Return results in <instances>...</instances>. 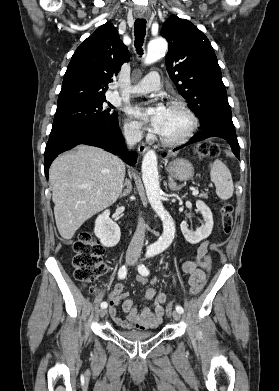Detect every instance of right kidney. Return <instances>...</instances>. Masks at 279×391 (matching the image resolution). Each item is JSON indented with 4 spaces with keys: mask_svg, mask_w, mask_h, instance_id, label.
Returning <instances> with one entry per match:
<instances>
[{
    "mask_svg": "<svg viewBox=\"0 0 279 391\" xmlns=\"http://www.w3.org/2000/svg\"><path fill=\"white\" fill-rule=\"evenodd\" d=\"M110 211L105 210L95 221L94 233L105 247H114L120 240L121 232L117 223L110 217Z\"/></svg>",
    "mask_w": 279,
    "mask_h": 391,
    "instance_id": "ca27d5eb",
    "label": "right kidney"
}]
</instances>
